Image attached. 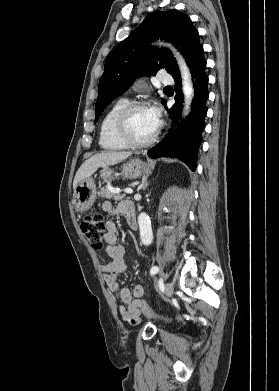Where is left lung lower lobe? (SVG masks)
<instances>
[{
    "mask_svg": "<svg viewBox=\"0 0 279 391\" xmlns=\"http://www.w3.org/2000/svg\"><path fill=\"white\" fill-rule=\"evenodd\" d=\"M206 60L203 56V47L199 48L189 68L194 81L195 95L192 102V113L185 121L179 123L178 129L170 132L165 140L151 148L148 155L151 158L171 157L182 160L191 170L197 167V154L202 141V132L205 128V116L207 113L206 100L209 97L207 89L208 76L205 73ZM175 104L169 109V115L175 123L180 119L183 105L181 91V77L175 78ZM166 107V102L163 104Z\"/></svg>",
    "mask_w": 279,
    "mask_h": 391,
    "instance_id": "obj_1",
    "label": "left lung lower lobe"
}]
</instances>
